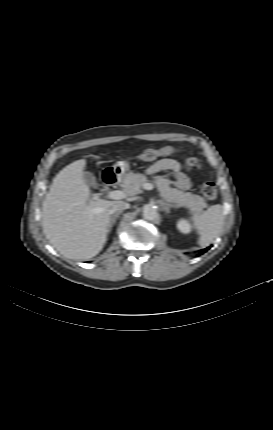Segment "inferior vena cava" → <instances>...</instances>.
Returning <instances> with one entry per match:
<instances>
[{
    "instance_id": "obj_1",
    "label": "inferior vena cava",
    "mask_w": 273,
    "mask_h": 430,
    "mask_svg": "<svg viewBox=\"0 0 273 430\" xmlns=\"http://www.w3.org/2000/svg\"><path fill=\"white\" fill-rule=\"evenodd\" d=\"M130 204L125 201H115L112 205V209L110 210L111 213L117 212V211H123L125 209H129Z\"/></svg>"
}]
</instances>
